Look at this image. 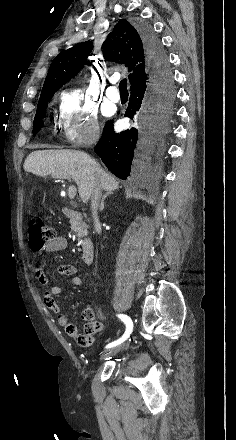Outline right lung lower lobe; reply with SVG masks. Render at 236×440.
Instances as JSON below:
<instances>
[{
    "mask_svg": "<svg viewBox=\"0 0 236 440\" xmlns=\"http://www.w3.org/2000/svg\"><path fill=\"white\" fill-rule=\"evenodd\" d=\"M139 31L147 56L149 80L131 89L129 105L125 112V117L131 119L136 115L146 117L148 111L156 107L155 89L168 81L173 83L168 57L160 40L148 26H141ZM156 129L153 121L139 130L131 128L115 133L113 122L110 121L104 127L95 152L114 175L125 180L130 176L134 153H137L142 146L144 147L145 142L152 137Z\"/></svg>",
    "mask_w": 236,
    "mask_h": 440,
    "instance_id": "98d812e1",
    "label": "right lung lower lobe"
}]
</instances>
